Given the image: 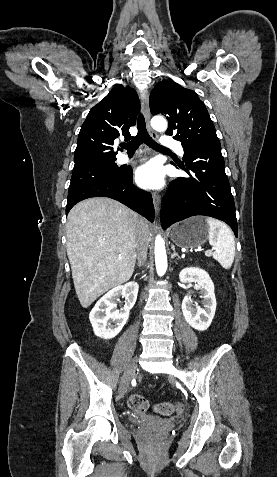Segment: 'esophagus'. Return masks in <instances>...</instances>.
<instances>
[{"mask_svg": "<svg viewBox=\"0 0 277 477\" xmlns=\"http://www.w3.org/2000/svg\"><path fill=\"white\" fill-rule=\"evenodd\" d=\"M140 99H141V105H142L144 117H145V120H146L147 129H148L149 133L152 135V137L156 138L157 135H156V133H154V131L152 130V128L150 126L151 114H150V108H149L148 92L147 91L141 92ZM152 199H153L155 212H156V214H158L159 213V208H160V203H161L160 195L158 193L154 192L152 194Z\"/></svg>", "mask_w": 277, "mask_h": 477, "instance_id": "esophagus-1", "label": "esophagus"}]
</instances>
